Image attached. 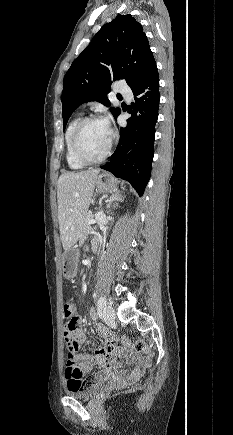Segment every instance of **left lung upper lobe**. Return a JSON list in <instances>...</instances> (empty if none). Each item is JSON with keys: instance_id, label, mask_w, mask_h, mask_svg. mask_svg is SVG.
I'll list each match as a JSON object with an SVG mask.
<instances>
[{"instance_id": "5c2ea615", "label": "left lung upper lobe", "mask_w": 233, "mask_h": 435, "mask_svg": "<svg viewBox=\"0 0 233 435\" xmlns=\"http://www.w3.org/2000/svg\"><path fill=\"white\" fill-rule=\"evenodd\" d=\"M155 64L143 27L131 15H117L93 37L64 76L63 128L82 103L96 100L110 106L111 83L125 79L132 87ZM116 117L119 108H110Z\"/></svg>"}]
</instances>
